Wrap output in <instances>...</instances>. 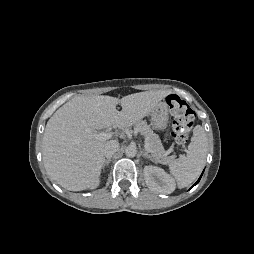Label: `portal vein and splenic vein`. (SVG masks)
I'll use <instances>...</instances> for the list:
<instances>
[{"label":"portal vein and splenic vein","mask_w":254,"mask_h":254,"mask_svg":"<svg viewBox=\"0 0 254 254\" xmlns=\"http://www.w3.org/2000/svg\"><path fill=\"white\" fill-rule=\"evenodd\" d=\"M112 135H113L112 132L106 131V132H101V133L97 134L95 136V138H97L99 140H107V139L111 138ZM145 148L147 151H150L149 144L147 142H145Z\"/></svg>","instance_id":"18ae733b"}]
</instances>
